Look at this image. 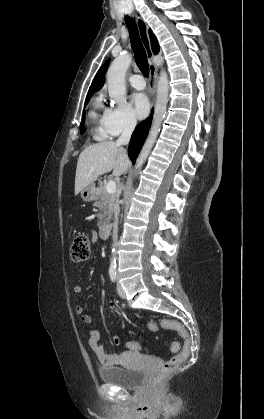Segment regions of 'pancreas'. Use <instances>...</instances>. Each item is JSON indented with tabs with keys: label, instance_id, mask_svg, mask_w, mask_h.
<instances>
[{
	"label": "pancreas",
	"instance_id": "1",
	"mask_svg": "<svg viewBox=\"0 0 264 419\" xmlns=\"http://www.w3.org/2000/svg\"><path fill=\"white\" fill-rule=\"evenodd\" d=\"M117 198V193H108L106 191V184L100 182L97 196L98 201L96 202V207H98L100 210V213L97 216L99 219L100 227L104 226L106 223L110 221Z\"/></svg>",
	"mask_w": 264,
	"mask_h": 419
}]
</instances>
